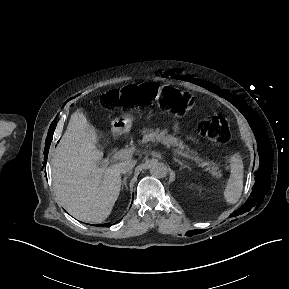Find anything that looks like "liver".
Returning a JSON list of instances; mask_svg holds the SVG:
<instances>
[{"label":"liver","instance_id":"6515ba94","mask_svg":"<svg viewBox=\"0 0 289 289\" xmlns=\"http://www.w3.org/2000/svg\"><path fill=\"white\" fill-rule=\"evenodd\" d=\"M97 142L86 116L76 111L51 160L58 203L76 219L89 223H102L110 215L121 187L118 164L99 166L103 152Z\"/></svg>","mask_w":289,"mask_h":289}]
</instances>
